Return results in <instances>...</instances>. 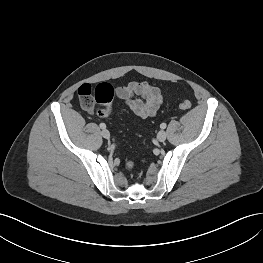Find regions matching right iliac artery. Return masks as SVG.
Instances as JSON below:
<instances>
[{
  "mask_svg": "<svg viewBox=\"0 0 263 263\" xmlns=\"http://www.w3.org/2000/svg\"><path fill=\"white\" fill-rule=\"evenodd\" d=\"M100 128L101 129H105L106 128V125L104 123H100Z\"/></svg>",
  "mask_w": 263,
  "mask_h": 263,
  "instance_id": "obj_1",
  "label": "right iliac artery"
}]
</instances>
